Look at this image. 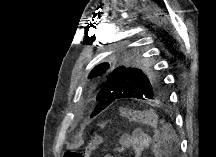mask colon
<instances>
[{
	"mask_svg": "<svg viewBox=\"0 0 216 157\" xmlns=\"http://www.w3.org/2000/svg\"><path fill=\"white\" fill-rule=\"evenodd\" d=\"M119 117L125 121L139 122L148 125L153 130L159 127L157 115L150 109H127L119 110ZM107 122H101L97 129L92 133L87 145L82 150H66L63 157H89L102 141V131Z\"/></svg>",
	"mask_w": 216,
	"mask_h": 157,
	"instance_id": "obj_1",
	"label": "colon"
}]
</instances>
